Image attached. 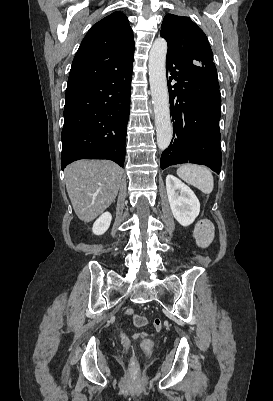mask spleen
<instances>
[{
    "mask_svg": "<svg viewBox=\"0 0 273 401\" xmlns=\"http://www.w3.org/2000/svg\"><path fill=\"white\" fill-rule=\"evenodd\" d=\"M178 176L200 188L205 194H210L214 188V178L211 170L198 164H183L177 170Z\"/></svg>",
    "mask_w": 273,
    "mask_h": 401,
    "instance_id": "spleen-1",
    "label": "spleen"
}]
</instances>
